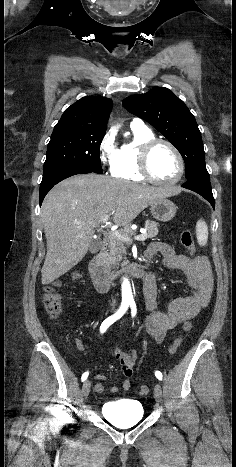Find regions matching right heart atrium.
I'll return each instance as SVG.
<instances>
[{
  "label": "right heart atrium",
  "mask_w": 236,
  "mask_h": 467,
  "mask_svg": "<svg viewBox=\"0 0 236 467\" xmlns=\"http://www.w3.org/2000/svg\"><path fill=\"white\" fill-rule=\"evenodd\" d=\"M98 151L101 164L112 169L118 156L115 135L112 132H107L103 136L99 143Z\"/></svg>",
  "instance_id": "1"
}]
</instances>
